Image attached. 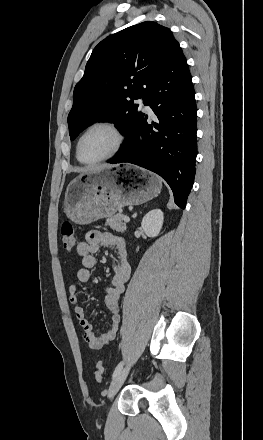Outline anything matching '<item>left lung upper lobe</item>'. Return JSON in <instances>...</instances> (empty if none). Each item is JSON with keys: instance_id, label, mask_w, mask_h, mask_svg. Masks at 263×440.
<instances>
[{"instance_id": "obj_1", "label": "left lung upper lobe", "mask_w": 263, "mask_h": 440, "mask_svg": "<svg viewBox=\"0 0 263 440\" xmlns=\"http://www.w3.org/2000/svg\"><path fill=\"white\" fill-rule=\"evenodd\" d=\"M176 42L167 27L153 21L128 27L102 40L74 89L68 115L71 139L100 120L116 121L127 137L142 114L134 99L144 101L146 91Z\"/></svg>"}]
</instances>
